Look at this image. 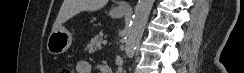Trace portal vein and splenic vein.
Masks as SVG:
<instances>
[{
  "mask_svg": "<svg viewBox=\"0 0 244 73\" xmlns=\"http://www.w3.org/2000/svg\"><path fill=\"white\" fill-rule=\"evenodd\" d=\"M102 44H103V45H106V44H107V41H106V40H104V41L102 42Z\"/></svg>",
  "mask_w": 244,
  "mask_h": 73,
  "instance_id": "obj_1",
  "label": "portal vein and splenic vein"
}]
</instances>
